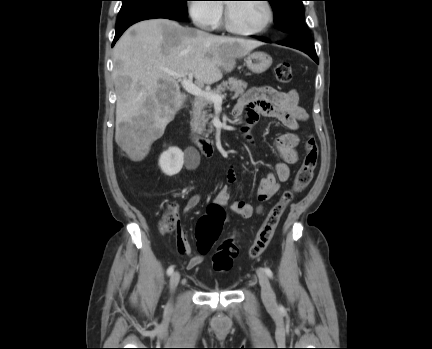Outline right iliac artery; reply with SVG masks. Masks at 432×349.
<instances>
[{
    "mask_svg": "<svg viewBox=\"0 0 432 349\" xmlns=\"http://www.w3.org/2000/svg\"><path fill=\"white\" fill-rule=\"evenodd\" d=\"M173 271H174V267H173V266H170V267L167 269V274L170 276V275L173 273Z\"/></svg>",
    "mask_w": 432,
    "mask_h": 349,
    "instance_id": "right-iliac-artery-1",
    "label": "right iliac artery"
}]
</instances>
